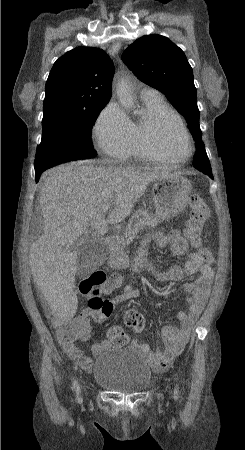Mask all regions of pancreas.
<instances>
[{
	"instance_id": "1",
	"label": "pancreas",
	"mask_w": 245,
	"mask_h": 450,
	"mask_svg": "<svg viewBox=\"0 0 245 450\" xmlns=\"http://www.w3.org/2000/svg\"><path fill=\"white\" fill-rule=\"evenodd\" d=\"M158 219L146 209H138L131 217L125 232L126 243L129 244L138 234L139 230L146 227L152 228L157 226Z\"/></svg>"
}]
</instances>
